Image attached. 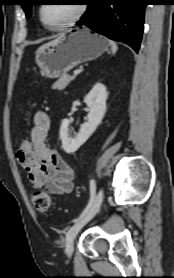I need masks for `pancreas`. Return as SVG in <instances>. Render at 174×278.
I'll use <instances>...</instances> for the list:
<instances>
[{
    "instance_id": "pancreas-1",
    "label": "pancreas",
    "mask_w": 174,
    "mask_h": 278,
    "mask_svg": "<svg viewBox=\"0 0 174 278\" xmlns=\"http://www.w3.org/2000/svg\"><path fill=\"white\" fill-rule=\"evenodd\" d=\"M74 76L70 75H62L52 86L53 89L63 90L72 80H74Z\"/></svg>"
}]
</instances>
